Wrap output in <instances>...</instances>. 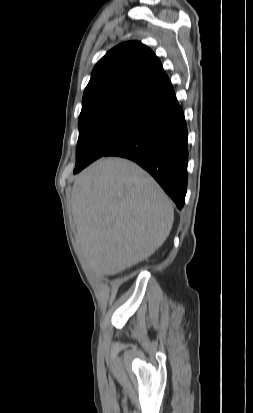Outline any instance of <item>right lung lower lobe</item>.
<instances>
[{"label": "right lung lower lobe", "instance_id": "obj_1", "mask_svg": "<svg viewBox=\"0 0 253 413\" xmlns=\"http://www.w3.org/2000/svg\"><path fill=\"white\" fill-rule=\"evenodd\" d=\"M105 156L130 159L147 170L181 209L187 190V126L181 106L155 117L147 128Z\"/></svg>", "mask_w": 253, "mask_h": 413}]
</instances>
